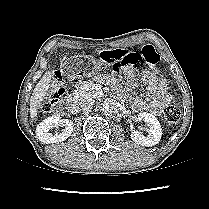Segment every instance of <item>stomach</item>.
I'll use <instances>...</instances> for the list:
<instances>
[{
  "instance_id": "stomach-1",
  "label": "stomach",
  "mask_w": 209,
  "mask_h": 209,
  "mask_svg": "<svg viewBox=\"0 0 209 209\" xmlns=\"http://www.w3.org/2000/svg\"><path fill=\"white\" fill-rule=\"evenodd\" d=\"M104 64V60L100 59L98 61L97 58L92 55L74 56L65 60L63 70L65 74L70 77L91 75Z\"/></svg>"
}]
</instances>
